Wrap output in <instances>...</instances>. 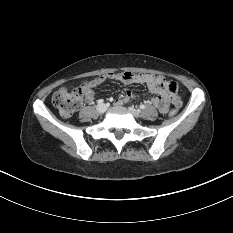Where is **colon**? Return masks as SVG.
I'll return each mask as SVG.
<instances>
[{"label": "colon", "instance_id": "obj_1", "mask_svg": "<svg viewBox=\"0 0 233 233\" xmlns=\"http://www.w3.org/2000/svg\"><path fill=\"white\" fill-rule=\"evenodd\" d=\"M85 93V85L72 90L62 88L54 93L52 102L60 116L64 119H68L81 107ZM177 108L178 107H175L170 111L171 116L177 114Z\"/></svg>", "mask_w": 233, "mask_h": 233}]
</instances>
